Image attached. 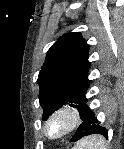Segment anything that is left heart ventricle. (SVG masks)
Returning a JSON list of instances; mask_svg holds the SVG:
<instances>
[{"mask_svg": "<svg viewBox=\"0 0 124 149\" xmlns=\"http://www.w3.org/2000/svg\"><path fill=\"white\" fill-rule=\"evenodd\" d=\"M61 131V126L59 124H54L51 127V134L57 135Z\"/></svg>", "mask_w": 124, "mask_h": 149, "instance_id": "obj_1", "label": "left heart ventricle"}]
</instances>
